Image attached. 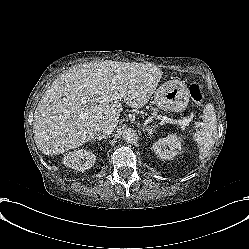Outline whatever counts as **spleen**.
<instances>
[{"mask_svg":"<svg viewBox=\"0 0 249 249\" xmlns=\"http://www.w3.org/2000/svg\"><path fill=\"white\" fill-rule=\"evenodd\" d=\"M211 108L210 105L206 106L204 112V124L200 131L194 135V140L199 146L202 157H206L214 145V136L212 133L216 128V122Z\"/></svg>","mask_w":249,"mask_h":249,"instance_id":"obj_1","label":"spleen"}]
</instances>
